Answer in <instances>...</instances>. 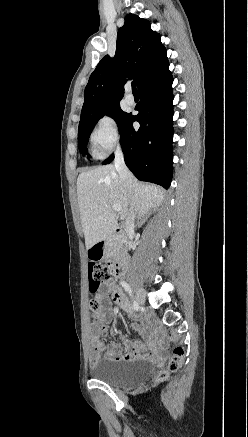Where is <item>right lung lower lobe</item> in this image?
I'll use <instances>...</instances> for the list:
<instances>
[{
    "label": "right lung lower lobe",
    "instance_id": "obj_1",
    "mask_svg": "<svg viewBox=\"0 0 248 437\" xmlns=\"http://www.w3.org/2000/svg\"><path fill=\"white\" fill-rule=\"evenodd\" d=\"M168 59L139 87V113L131 114L125 124L120 144L127 167L141 181H148L168 188L172 179V117L173 77L168 69ZM140 128L135 130L133 122ZM114 159L110 155L102 164Z\"/></svg>",
    "mask_w": 248,
    "mask_h": 437
}]
</instances>
